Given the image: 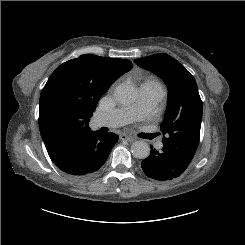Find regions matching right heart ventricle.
Returning a JSON list of instances; mask_svg holds the SVG:
<instances>
[{"mask_svg": "<svg viewBox=\"0 0 245 245\" xmlns=\"http://www.w3.org/2000/svg\"><path fill=\"white\" fill-rule=\"evenodd\" d=\"M142 85L164 89L163 85L160 83V81L153 76L146 78L145 81L142 83Z\"/></svg>", "mask_w": 245, "mask_h": 245, "instance_id": "1", "label": "right heart ventricle"}]
</instances>
